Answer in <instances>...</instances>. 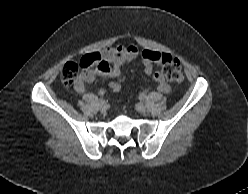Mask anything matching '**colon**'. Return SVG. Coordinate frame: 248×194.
<instances>
[{"mask_svg":"<svg viewBox=\"0 0 248 194\" xmlns=\"http://www.w3.org/2000/svg\"><path fill=\"white\" fill-rule=\"evenodd\" d=\"M154 61L161 67V73L165 79L179 84L184 79V74L177 58L166 53H157L153 56ZM96 58L93 54L83 56L79 62H67L61 72V81L65 87L75 84L81 75V70L95 64ZM111 88L118 91L121 85L118 82H112Z\"/></svg>","mask_w":248,"mask_h":194,"instance_id":"5ec220e1","label":"colon"}]
</instances>
